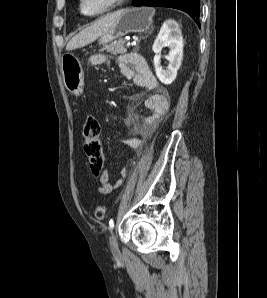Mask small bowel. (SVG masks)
Segmentation results:
<instances>
[{
	"mask_svg": "<svg viewBox=\"0 0 267 298\" xmlns=\"http://www.w3.org/2000/svg\"><path fill=\"white\" fill-rule=\"evenodd\" d=\"M107 62L106 56L101 54L93 55L90 58V65L93 67L105 65ZM118 66L121 73L132 80L136 85L157 91L151 95L145 103L149 115L144 118L142 133L148 136L166 114L169 108L168 98L162 91H158L160 88L159 83L151 72L147 61L141 55L133 52L121 55L118 58ZM98 178L100 181L98 192L101 195L111 193L122 183L120 179L114 185L111 184L109 181V173L106 170L101 171Z\"/></svg>",
	"mask_w": 267,
	"mask_h": 298,
	"instance_id": "small-bowel-1",
	"label": "small bowel"
}]
</instances>
